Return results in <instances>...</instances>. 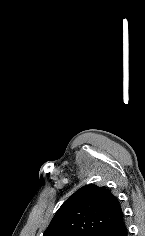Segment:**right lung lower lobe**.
Wrapping results in <instances>:
<instances>
[{"mask_svg": "<svg viewBox=\"0 0 145 236\" xmlns=\"http://www.w3.org/2000/svg\"><path fill=\"white\" fill-rule=\"evenodd\" d=\"M97 236H128L124 219H120L113 225L100 232Z\"/></svg>", "mask_w": 145, "mask_h": 236, "instance_id": "right-lung-lower-lobe-1", "label": "right lung lower lobe"}]
</instances>
